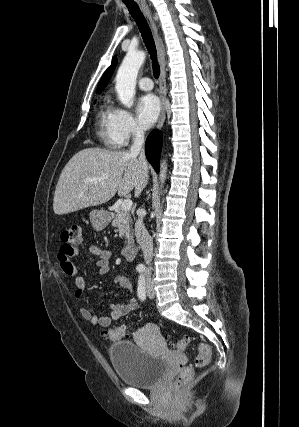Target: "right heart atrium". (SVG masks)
<instances>
[{
  "label": "right heart atrium",
  "mask_w": 299,
  "mask_h": 427,
  "mask_svg": "<svg viewBox=\"0 0 299 427\" xmlns=\"http://www.w3.org/2000/svg\"><path fill=\"white\" fill-rule=\"evenodd\" d=\"M114 133L117 143L123 146L141 136L143 130L128 110L118 107L114 108Z\"/></svg>",
  "instance_id": "obj_1"
}]
</instances>
